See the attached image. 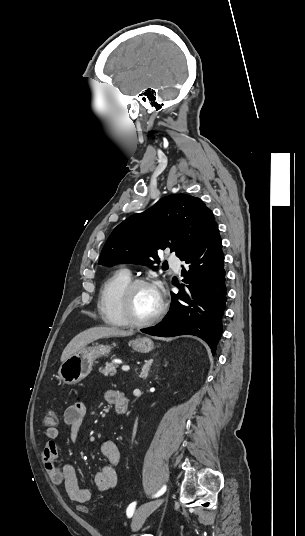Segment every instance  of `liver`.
<instances>
[{
    "instance_id": "6515ba94",
    "label": "liver",
    "mask_w": 305,
    "mask_h": 536,
    "mask_svg": "<svg viewBox=\"0 0 305 536\" xmlns=\"http://www.w3.org/2000/svg\"><path fill=\"white\" fill-rule=\"evenodd\" d=\"M113 336H121V338H124V336H133V332H124V330H120V328H89V330L81 332V334H78V336H75V338L69 342L68 346H66L65 350L62 352L61 362L68 360L70 356H73V354L82 350V348L87 346V344H90V342L99 340V338H113Z\"/></svg>"
}]
</instances>
